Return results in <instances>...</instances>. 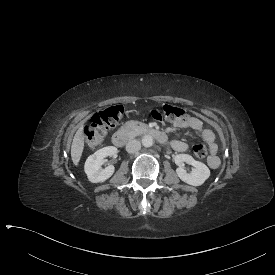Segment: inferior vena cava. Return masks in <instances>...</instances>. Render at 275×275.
I'll list each match as a JSON object with an SVG mask.
<instances>
[{
    "instance_id": "1",
    "label": "inferior vena cava",
    "mask_w": 275,
    "mask_h": 275,
    "mask_svg": "<svg viewBox=\"0 0 275 275\" xmlns=\"http://www.w3.org/2000/svg\"><path fill=\"white\" fill-rule=\"evenodd\" d=\"M141 149V143L137 140H131L126 145V151L128 153H135Z\"/></svg>"
}]
</instances>
